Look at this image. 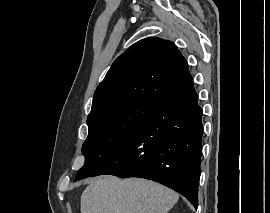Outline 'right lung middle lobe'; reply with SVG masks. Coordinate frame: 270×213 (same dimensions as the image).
<instances>
[{
	"label": "right lung middle lobe",
	"instance_id": "obj_1",
	"mask_svg": "<svg viewBox=\"0 0 270 213\" xmlns=\"http://www.w3.org/2000/svg\"><path fill=\"white\" fill-rule=\"evenodd\" d=\"M155 105L131 101L88 119L89 134L82 146L85 164L75 181L93 176L130 139Z\"/></svg>",
	"mask_w": 270,
	"mask_h": 213
}]
</instances>
